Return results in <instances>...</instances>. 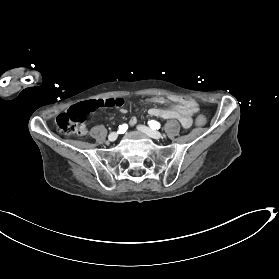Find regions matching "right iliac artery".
<instances>
[{"label": "right iliac artery", "instance_id": "82829eb1", "mask_svg": "<svg viewBox=\"0 0 279 279\" xmlns=\"http://www.w3.org/2000/svg\"><path fill=\"white\" fill-rule=\"evenodd\" d=\"M127 129H128L127 124L120 125L117 133H120V134L125 133Z\"/></svg>", "mask_w": 279, "mask_h": 279}]
</instances>
